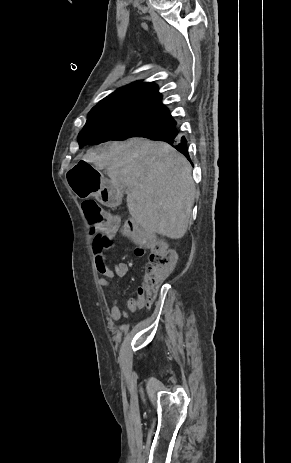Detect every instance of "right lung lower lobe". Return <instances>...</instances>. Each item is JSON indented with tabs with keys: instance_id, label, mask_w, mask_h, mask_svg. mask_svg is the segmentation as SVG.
Returning <instances> with one entry per match:
<instances>
[{
	"instance_id": "obj_1",
	"label": "right lung lower lobe",
	"mask_w": 291,
	"mask_h": 463,
	"mask_svg": "<svg viewBox=\"0 0 291 463\" xmlns=\"http://www.w3.org/2000/svg\"><path fill=\"white\" fill-rule=\"evenodd\" d=\"M166 121L169 123V126L166 129L147 136L146 138L155 141L166 142L181 152L184 156H186L188 160H190L186 138L184 136L180 138L179 131L175 126L176 123L172 118Z\"/></svg>"
}]
</instances>
